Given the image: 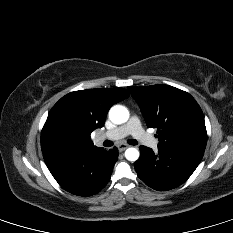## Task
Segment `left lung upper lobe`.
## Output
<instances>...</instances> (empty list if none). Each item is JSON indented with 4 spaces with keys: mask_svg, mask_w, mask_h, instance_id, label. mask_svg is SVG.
Returning a JSON list of instances; mask_svg holds the SVG:
<instances>
[{
    "mask_svg": "<svg viewBox=\"0 0 233 233\" xmlns=\"http://www.w3.org/2000/svg\"><path fill=\"white\" fill-rule=\"evenodd\" d=\"M148 127L157 128L159 147L205 150L207 132L203 112L187 92L169 85L128 87Z\"/></svg>",
    "mask_w": 233,
    "mask_h": 233,
    "instance_id": "left-lung-upper-lobe-1",
    "label": "left lung upper lobe"
}]
</instances>
